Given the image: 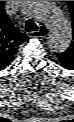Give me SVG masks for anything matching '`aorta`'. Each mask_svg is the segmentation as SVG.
I'll list each match as a JSON object with an SVG mask.
<instances>
[{
  "instance_id": "aorta-1",
  "label": "aorta",
  "mask_w": 74,
  "mask_h": 122,
  "mask_svg": "<svg viewBox=\"0 0 74 122\" xmlns=\"http://www.w3.org/2000/svg\"><path fill=\"white\" fill-rule=\"evenodd\" d=\"M21 8L28 17L48 28L47 45L53 52L62 53L70 47L71 23L53 1H22Z\"/></svg>"
}]
</instances>
